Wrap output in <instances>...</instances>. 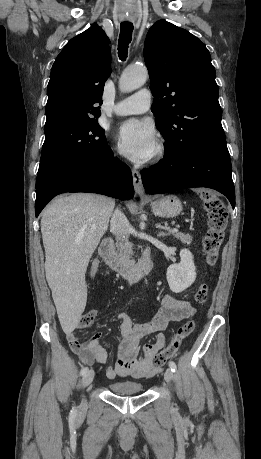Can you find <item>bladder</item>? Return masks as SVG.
<instances>
[{
    "label": "bladder",
    "mask_w": 261,
    "mask_h": 459,
    "mask_svg": "<svg viewBox=\"0 0 261 459\" xmlns=\"http://www.w3.org/2000/svg\"><path fill=\"white\" fill-rule=\"evenodd\" d=\"M110 390L116 394L132 395L139 394L143 391V386L135 381H118L109 385Z\"/></svg>",
    "instance_id": "1"
}]
</instances>
